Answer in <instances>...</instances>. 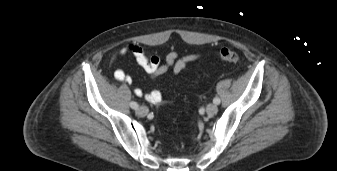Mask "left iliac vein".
I'll return each instance as SVG.
<instances>
[{"mask_svg": "<svg viewBox=\"0 0 337 171\" xmlns=\"http://www.w3.org/2000/svg\"><path fill=\"white\" fill-rule=\"evenodd\" d=\"M217 111H218V107L215 104H209L206 107V113L209 116L215 115L217 113Z\"/></svg>", "mask_w": 337, "mask_h": 171, "instance_id": "obj_1", "label": "left iliac vein"}]
</instances>
